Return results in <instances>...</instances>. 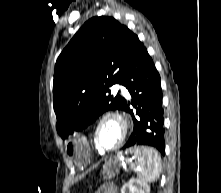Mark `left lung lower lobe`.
Segmentation results:
<instances>
[{"instance_id": "left-lung-lower-lobe-1", "label": "left lung lower lobe", "mask_w": 221, "mask_h": 193, "mask_svg": "<svg viewBox=\"0 0 221 193\" xmlns=\"http://www.w3.org/2000/svg\"><path fill=\"white\" fill-rule=\"evenodd\" d=\"M124 85L132 96L136 115L126 102L124 111L131 113L134 130L123 149L148 145L165 154L164 118L160 75L142 43L134 52L123 76ZM138 106V107H137ZM154 111V116H149Z\"/></svg>"}]
</instances>
